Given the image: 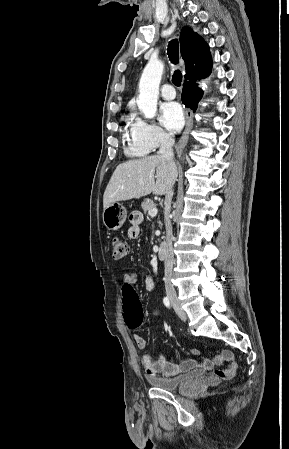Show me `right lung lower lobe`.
I'll list each match as a JSON object with an SVG mask.
<instances>
[{
  "instance_id": "right-lung-lower-lobe-1",
  "label": "right lung lower lobe",
  "mask_w": 289,
  "mask_h": 449,
  "mask_svg": "<svg viewBox=\"0 0 289 449\" xmlns=\"http://www.w3.org/2000/svg\"><path fill=\"white\" fill-rule=\"evenodd\" d=\"M211 67L209 70L201 77L199 78H189L184 81L183 85V93L181 96L182 102L186 107H189L194 112L197 109V104L202 98L203 92L199 88L198 83L201 78L205 77L206 75L211 73Z\"/></svg>"
}]
</instances>
